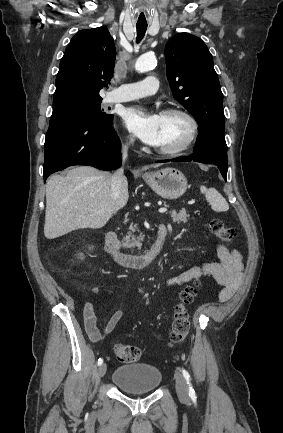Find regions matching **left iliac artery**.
Instances as JSON below:
<instances>
[{
  "label": "left iliac artery",
  "mask_w": 283,
  "mask_h": 433,
  "mask_svg": "<svg viewBox=\"0 0 283 433\" xmlns=\"http://www.w3.org/2000/svg\"><path fill=\"white\" fill-rule=\"evenodd\" d=\"M182 374H183V376H184V378L188 384V387H189V396L191 397L192 400H195L197 397H196L195 391L191 385L190 375L184 368H182Z\"/></svg>",
  "instance_id": "1"
}]
</instances>
